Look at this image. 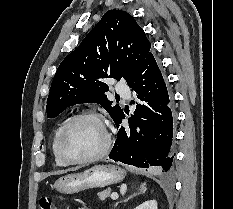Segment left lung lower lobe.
<instances>
[{
    "label": "left lung lower lobe",
    "mask_w": 233,
    "mask_h": 209,
    "mask_svg": "<svg viewBox=\"0 0 233 209\" xmlns=\"http://www.w3.org/2000/svg\"><path fill=\"white\" fill-rule=\"evenodd\" d=\"M142 103L137 104L129 128L121 126L124 112L115 121L119 128L109 158L128 165L168 172L174 156L173 114L170 97L157 62L150 53L128 83Z\"/></svg>",
    "instance_id": "obj_1"
}]
</instances>
